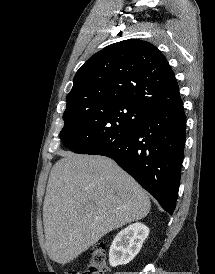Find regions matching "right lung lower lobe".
<instances>
[{"instance_id":"98d812e1","label":"right lung lower lobe","mask_w":215,"mask_h":274,"mask_svg":"<svg viewBox=\"0 0 215 274\" xmlns=\"http://www.w3.org/2000/svg\"><path fill=\"white\" fill-rule=\"evenodd\" d=\"M186 140L182 101L146 112L125 136L88 154L107 156L141 184L169 214L175 209Z\"/></svg>"}]
</instances>
